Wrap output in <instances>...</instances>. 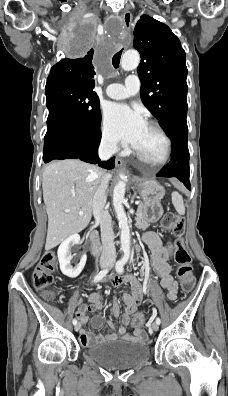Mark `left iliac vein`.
<instances>
[{
    "instance_id": "1",
    "label": "left iliac vein",
    "mask_w": 228,
    "mask_h": 396,
    "mask_svg": "<svg viewBox=\"0 0 228 396\" xmlns=\"http://www.w3.org/2000/svg\"><path fill=\"white\" fill-rule=\"evenodd\" d=\"M113 264H114V260H112V261L110 262V266H113ZM152 329H153L154 331H158V329H159V324H157L156 322H153V323H152Z\"/></svg>"
}]
</instances>
